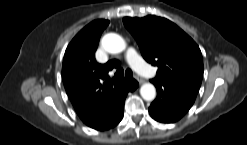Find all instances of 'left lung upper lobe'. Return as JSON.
<instances>
[{
	"mask_svg": "<svg viewBox=\"0 0 247 145\" xmlns=\"http://www.w3.org/2000/svg\"><path fill=\"white\" fill-rule=\"evenodd\" d=\"M144 59L158 67L161 79L197 94L203 77L198 45L173 22L157 17L123 18Z\"/></svg>",
	"mask_w": 247,
	"mask_h": 145,
	"instance_id": "5c2ea615",
	"label": "left lung upper lobe"
}]
</instances>
